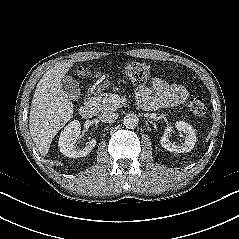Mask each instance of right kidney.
Here are the masks:
<instances>
[{
	"label": "right kidney",
	"mask_w": 239,
	"mask_h": 239,
	"mask_svg": "<svg viewBox=\"0 0 239 239\" xmlns=\"http://www.w3.org/2000/svg\"><path fill=\"white\" fill-rule=\"evenodd\" d=\"M80 122L78 120H74L66 127L60 134L58 146L60 148V152L63 155L69 158H79L87 156L91 150L96 145V139H92L88 142L84 149L76 148V141L80 136Z\"/></svg>",
	"instance_id": "obj_1"
}]
</instances>
